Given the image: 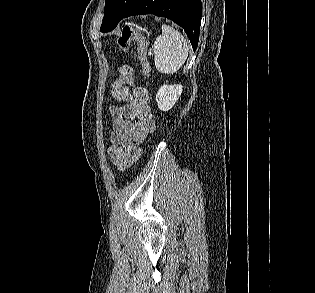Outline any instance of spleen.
Returning a JSON list of instances; mask_svg holds the SVG:
<instances>
[{
  "instance_id": "spleen-1",
  "label": "spleen",
  "mask_w": 315,
  "mask_h": 293,
  "mask_svg": "<svg viewBox=\"0 0 315 293\" xmlns=\"http://www.w3.org/2000/svg\"><path fill=\"white\" fill-rule=\"evenodd\" d=\"M156 69L164 74L177 72L188 57L189 45L179 31L162 25V35L152 45Z\"/></svg>"
}]
</instances>
